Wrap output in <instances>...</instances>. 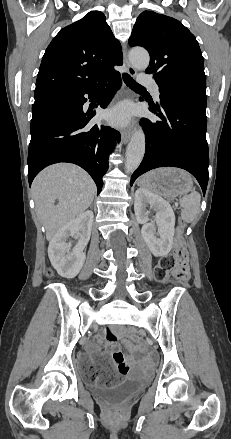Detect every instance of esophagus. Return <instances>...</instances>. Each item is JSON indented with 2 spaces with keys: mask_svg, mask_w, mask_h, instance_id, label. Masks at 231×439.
I'll list each match as a JSON object with an SVG mask.
<instances>
[{
  "mask_svg": "<svg viewBox=\"0 0 231 439\" xmlns=\"http://www.w3.org/2000/svg\"><path fill=\"white\" fill-rule=\"evenodd\" d=\"M124 64L126 66V70H127L128 74H130L131 76L135 77L136 76V70L128 62L127 57H126V53H125V56H124ZM131 134H132V131H131L130 128L129 129H123L121 131V136H122V140H123L124 144H126L129 141V139L131 137Z\"/></svg>",
  "mask_w": 231,
  "mask_h": 439,
  "instance_id": "34e87169",
  "label": "esophagus"
}]
</instances>
